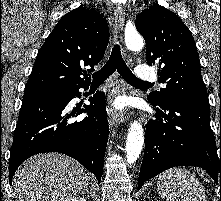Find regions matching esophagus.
<instances>
[{"label":"esophagus","instance_id":"34e87169","mask_svg":"<svg viewBox=\"0 0 221 201\" xmlns=\"http://www.w3.org/2000/svg\"><path fill=\"white\" fill-rule=\"evenodd\" d=\"M115 16V23H114V34H115V40L117 42L122 41V31L124 27L125 22V12L123 9L116 8L114 12ZM123 90L120 83H117L116 89L114 90V94L120 93ZM107 114L109 117V124L111 126H114L118 122H124L125 117L124 113L122 111H116L112 107H107Z\"/></svg>","mask_w":221,"mask_h":201}]
</instances>
